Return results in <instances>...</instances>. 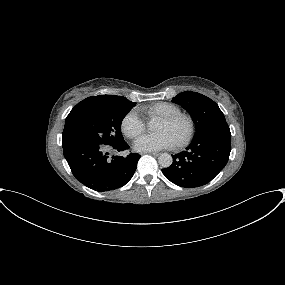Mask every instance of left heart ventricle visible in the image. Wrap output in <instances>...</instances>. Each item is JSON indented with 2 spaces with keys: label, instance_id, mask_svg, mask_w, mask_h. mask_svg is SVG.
Returning <instances> with one entry per match:
<instances>
[{
  "label": "left heart ventricle",
  "instance_id": "left-heart-ventricle-1",
  "mask_svg": "<svg viewBox=\"0 0 285 285\" xmlns=\"http://www.w3.org/2000/svg\"><path fill=\"white\" fill-rule=\"evenodd\" d=\"M185 131L186 125L183 121L166 124L158 120L154 125V132L166 133L174 143H176L184 135Z\"/></svg>",
  "mask_w": 285,
  "mask_h": 285
}]
</instances>
